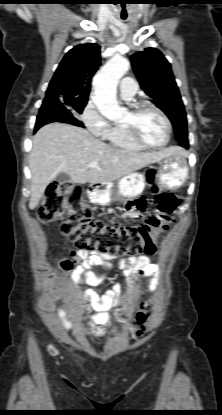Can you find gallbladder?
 Instances as JSON below:
<instances>
[{"label": "gallbladder", "instance_id": "1", "mask_svg": "<svg viewBox=\"0 0 222 415\" xmlns=\"http://www.w3.org/2000/svg\"><path fill=\"white\" fill-rule=\"evenodd\" d=\"M56 181L59 184H64V183H67V182H71V179L66 173H60V174L57 175Z\"/></svg>", "mask_w": 222, "mask_h": 415}]
</instances>
